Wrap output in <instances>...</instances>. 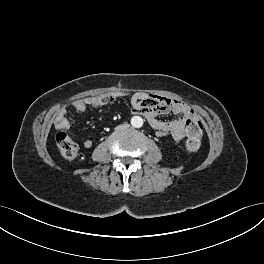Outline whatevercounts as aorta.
Returning a JSON list of instances; mask_svg holds the SVG:
<instances>
[{
	"instance_id": "1",
	"label": "aorta",
	"mask_w": 264,
	"mask_h": 264,
	"mask_svg": "<svg viewBox=\"0 0 264 264\" xmlns=\"http://www.w3.org/2000/svg\"><path fill=\"white\" fill-rule=\"evenodd\" d=\"M131 125L135 128H140L143 125V119L140 116H133L131 118Z\"/></svg>"
}]
</instances>
